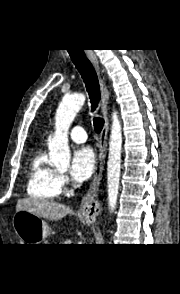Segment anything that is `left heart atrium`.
Masks as SVG:
<instances>
[{
	"label": "left heart atrium",
	"instance_id": "1",
	"mask_svg": "<svg viewBox=\"0 0 180 294\" xmlns=\"http://www.w3.org/2000/svg\"><path fill=\"white\" fill-rule=\"evenodd\" d=\"M96 158L90 147H81L77 149L72 158L70 174L78 182L90 178L95 170Z\"/></svg>",
	"mask_w": 180,
	"mask_h": 294
}]
</instances>
